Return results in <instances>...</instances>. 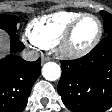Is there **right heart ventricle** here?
<instances>
[{"label": "right heart ventricle", "mask_w": 112, "mask_h": 112, "mask_svg": "<svg viewBox=\"0 0 112 112\" xmlns=\"http://www.w3.org/2000/svg\"><path fill=\"white\" fill-rule=\"evenodd\" d=\"M81 14L63 10L37 17L27 27L28 38L38 47L52 48L70 23Z\"/></svg>", "instance_id": "obj_1"}]
</instances>
